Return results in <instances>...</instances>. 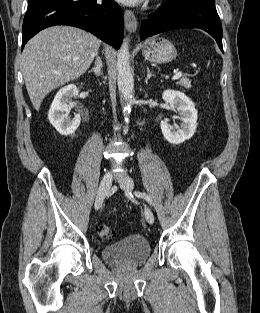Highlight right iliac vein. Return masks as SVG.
Here are the masks:
<instances>
[{"label": "right iliac vein", "instance_id": "obj_1", "mask_svg": "<svg viewBox=\"0 0 260 313\" xmlns=\"http://www.w3.org/2000/svg\"><path fill=\"white\" fill-rule=\"evenodd\" d=\"M112 184V174L106 173L103 179L100 182L96 198H95V209L99 210L102 206V203L104 201V198L107 194V191L110 189Z\"/></svg>", "mask_w": 260, "mask_h": 313}]
</instances>
